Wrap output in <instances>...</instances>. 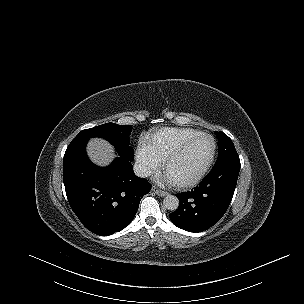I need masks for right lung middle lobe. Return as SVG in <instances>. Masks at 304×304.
<instances>
[{
  "label": "right lung middle lobe",
  "instance_id": "1",
  "mask_svg": "<svg viewBox=\"0 0 304 304\" xmlns=\"http://www.w3.org/2000/svg\"><path fill=\"white\" fill-rule=\"evenodd\" d=\"M132 129L131 125L123 126L115 123H106L82 130L74 139L104 138L113 144L119 156L132 161L134 159V150L129 146V136Z\"/></svg>",
  "mask_w": 304,
  "mask_h": 304
}]
</instances>
